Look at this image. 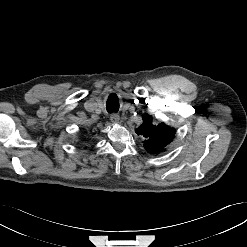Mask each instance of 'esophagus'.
<instances>
[{
  "mask_svg": "<svg viewBox=\"0 0 247 247\" xmlns=\"http://www.w3.org/2000/svg\"><path fill=\"white\" fill-rule=\"evenodd\" d=\"M110 120H111L112 123H118L119 120H120V117H119L118 114H112V115L110 116Z\"/></svg>",
  "mask_w": 247,
  "mask_h": 247,
  "instance_id": "obj_1",
  "label": "esophagus"
}]
</instances>
